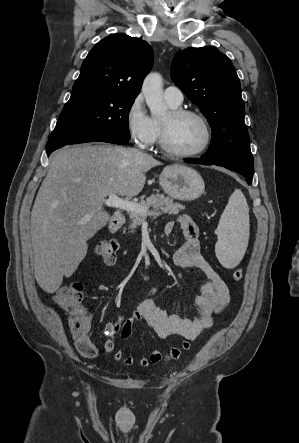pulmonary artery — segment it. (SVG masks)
Listing matches in <instances>:
<instances>
[{
    "mask_svg": "<svg viewBox=\"0 0 299 443\" xmlns=\"http://www.w3.org/2000/svg\"><path fill=\"white\" fill-rule=\"evenodd\" d=\"M164 98L167 103L179 106L183 102V92L176 86H168L164 90Z\"/></svg>",
    "mask_w": 299,
    "mask_h": 443,
    "instance_id": "e3ab8cb5",
    "label": "pulmonary artery"
}]
</instances>
